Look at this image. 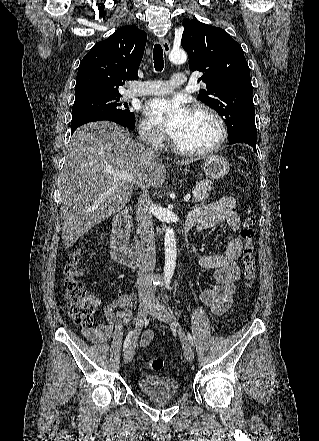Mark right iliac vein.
Listing matches in <instances>:
<instances>
[{"mask_svg":"<svg viewBox=\"0 0 319 441\" xmlns=\"http://www.w3.org/2000/svg\"><path fill=\"white\" fill-rule=\"evenodd\" d=\"M150 305H151V301H149V300H143L139 304L138 313H137V317H136L135 334H134L133 340L129 344V346L124 354V362L125 363H129L134 357L136 340H137V337L141 331L143 323L147 317Z\"/></svg>","mask_w":319,"mask_h":441,"instance_id":"right-iliac-vein-1","label":"right iliac vein"}]
</instances>
